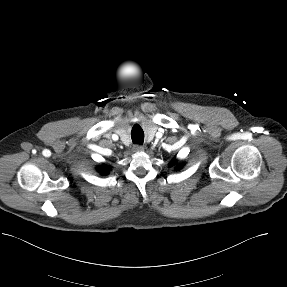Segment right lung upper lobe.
<instances>
[{"label":"right lung upper lobe","instance_id":"cb5924a9","mask_svg":"<svg viewBox=\"0 0 287 287\" xmlns=\"http://www.w3.org/2000/svg\"><path fill=\"white\" fill-rule=\"evenodd\" d=\"M109 169H110V167L105 165V166L99 167L98 171L103 175H107L109 173Z\"/></svg>","mask_w":287,"mask_h":287}]
</instances>
